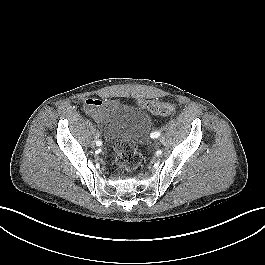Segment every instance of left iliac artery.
Listing matches in <instances>:
<instances>
[{"label": "left iliac artery", "instance_id": "1", "mask_svg": "<svg viewBox=\"0 0 265 265\" xmlns=\"http://www.w3.org/2000/svg\"><path fill=\"white\" fill-rule=\"evenodd\" d=\"M159 135H160V132H152L150 134V137L154 139V138H157Z\"/></svg>", "mask_w": 265, "mask_h": 265}]
</instances>
